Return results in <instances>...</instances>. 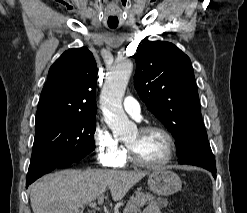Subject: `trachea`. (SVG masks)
<instances>
[{"label": "trachea", "instance_id": "1", "mask_svg": "<svg viewBox=\"0 0 247 213\" xmlns=\"http://www.w3.org/2000/svg\"><path fill=\"white\" fill-rule=\"evenodd\" d=\"M110 28L114 29L116 28L117 26H112V25H109Z\"/></svg>", "mask_w": 247, "mask_h": 213}]
</instances>
